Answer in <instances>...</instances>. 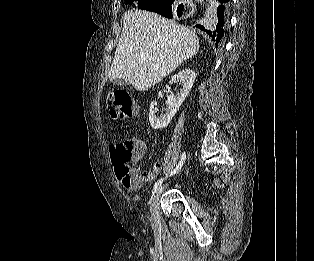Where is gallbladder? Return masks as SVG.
I'll use <instances>...</instances> for the list:
<instances>
[{
    "mask_svg": "<svg viewBox=\"0 0 314 261\" xmlns=\"http://www.w3.org/2000/svg\"><path fill=\"white\" fill-rule=\"evenodd\" d=\"M112 83L116 84V85H119V86H127V85H129V82L124 80V79H115V80H112Z\"/></svg>",
    "mask_w": 314,
    "mask_h": 261,
    "instance_id": "obj_1",
    "label": "gallbladder"
}]
</instances>
